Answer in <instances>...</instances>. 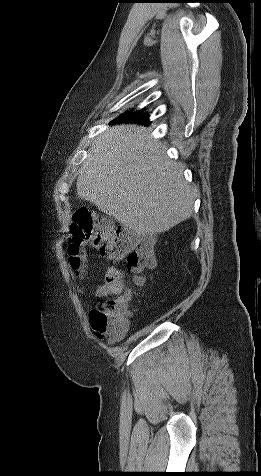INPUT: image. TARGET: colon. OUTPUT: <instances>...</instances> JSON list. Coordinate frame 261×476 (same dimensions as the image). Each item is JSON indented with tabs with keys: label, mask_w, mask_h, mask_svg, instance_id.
Segmentation results:
<instances>
[{
	"label": "colon",
	"mask_w": 261,
	"mask_h": 476,
	"mask_svg": "<svg viewBox=\"0 0 261 476\" xmlns=\"http://www.w3.org/2000/svg\"><path fill=\"white\" fill-rule=\"evenodd\" d=\"M91 248L97 257L113 262L125 261L133 274L135 285H141V273L155 265L153 242L133 235L130 231L115 228L106 219L98 217L88 208H79L71 224L67 252L72 270L81 275L85 269V250ZM130 317L129 291L109 295L94 304L90 322L101 339L114 341L127 331Z\"/></svg>",
	"instance_id": "obj_1"
}]
</instances>
